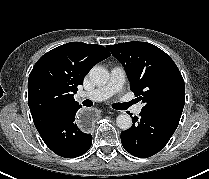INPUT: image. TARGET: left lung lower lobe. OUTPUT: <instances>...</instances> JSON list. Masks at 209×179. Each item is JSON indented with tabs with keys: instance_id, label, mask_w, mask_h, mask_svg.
Returning <instances> with one entry per match:
<instances>
[{
	"instance_id": "1",
	"label": "left lung lower lobe",
	"mask_w": 209,
	"mask_h": 179,
	"mask_svg": "<svg viewBox=\"0 0 209 179\" xmlns=\"http://www.w3.org/2000/svg\"><path fill=\"white\" fill-rule=\"evenodd\" d=\"M181 114L141 110L139 117H133L130 129L121 132V142L130 154L146 158L160 150L175 132Z\"/></svg>"
}]
</instances>
